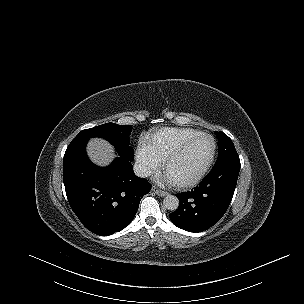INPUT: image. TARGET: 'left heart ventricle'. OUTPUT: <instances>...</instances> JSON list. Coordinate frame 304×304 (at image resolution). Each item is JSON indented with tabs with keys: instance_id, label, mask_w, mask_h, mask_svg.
<instances>
[{
	"instance_id": "b2bd125f",
	"label": "left heart ventricle",
	"mask_w": 304,
	"mask_h": 304,
	"mask_svg": "<svg viewBox=\"0 0 304 304\" xmlns=\"http://www.w3.org/2000/svg\"><path fill=\"white\" fill-rule=\"evenodd\" d=\"M213 148L210 138H201L174 159L168 169L173 181H184L194 177L209 159Z\"/></svg>"
}]
</instances>
